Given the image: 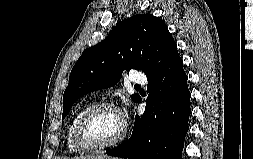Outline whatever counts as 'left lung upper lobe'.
I'll use <instances>...</instances> for the list:
<instances>
[{
	"mask_svg": "<svg viewBox=\"0 0 253 159\" xmlns=\"http://www.w3.org/2000/svg\"><path fill=\"white\" fill-rule=\"evenodd\" d=\"M177 52V45L159 18L137 14L117 24L101 43L86 49L74 65L63 95L64 119L73 103L85 94L111 87L126 69H140L149 77ZM134 102L138 94L131 96Z\"/></svg>",
	"mask_w": 253,
	"mask_h": 159,
	"instance_id": "1",
	"label": "left lung upper lobe"
}]
</instances>
